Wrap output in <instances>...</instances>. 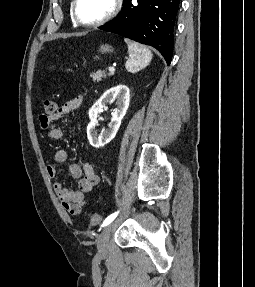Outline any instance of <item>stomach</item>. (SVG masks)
Listing matches in <instances>:
<instances>
[{"label": "stomach", "mask_w": 255, "mask_h": 287, "mask_svg": "<svg viewBox=\"0 0 255 287\" xmlns=\"http://www.w3.org/2000/svg\"><path fill=\"white\" fill-rule=\"evenodd\" d=\"M98 52H100V54H108V52H111V46H108V44H102Z\"/></svg>", "instance_id": "0dacf381"}]
</instances>
